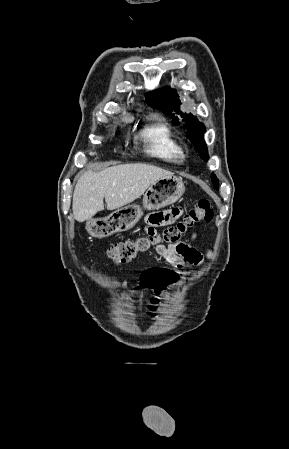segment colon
<instances>
[{"label": "colon", "mask_w": 289, "mask_h": 449, "mask_svg": "<svg viewBox=\"0 0 289 449\" xmlns=\"http://www.w3.org/2000/svg\"><path fill=\"white\" fill-rule=\"evenodd\" d=\"M213 219V210L207 199L196 201L191 208L183 214L181 220L165 228L161 234L140 236L133 240L118 242L106 250V256L117 264L128 263L139 254L148 252L158 245H173L197 224L210 222ZM180 278L179 271L173 268H144L140 272L139 282L136 284L138 291H154L160 296L169 289V285H175ZM154 304H161V297L153 298Z\"/></svg>", "instance_id": "colon-1"}]
</instances>
